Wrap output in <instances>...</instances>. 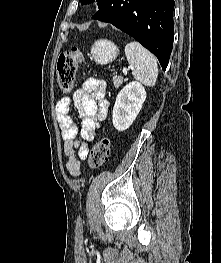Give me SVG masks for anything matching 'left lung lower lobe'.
<instances>
[{
    "label": "left lung lower lobe",
    "mask_w": 221,
    "mask_h": 263,
    "mask_svg": "<svg viewBox=\"0 0 221 263\" xmlns=\"http://www.w3.org/2000/svg\"><path fill=\"white\" fill-rule=\"evenodd\" d=\"M174 0H105L92 16L129 34L166 70L173 47Z\"/></svg>",
    "instance_id": "0a47b994"
}]
</instances>
